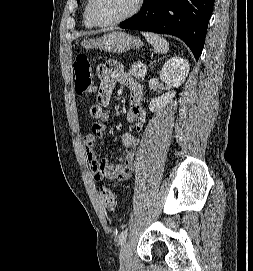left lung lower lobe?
Instances as JSON below:
<instances>
[{
    "label": "left lung lower lobe",
    "instance_id": "obj_1",
    "mask_svg": "<svg viewBox=\"0 0 253 271\" xmlns=\"http://www.w3.org/2000/svg\"><path fill=\"white\" fill-rule=\"evenodd\" d=\"M213 5L214 0H145L141 11L120 27L179 37L198 60Z\"/></svg>",
    "mask_w": 253,
    "mask_h": 271
}]
</instances>
